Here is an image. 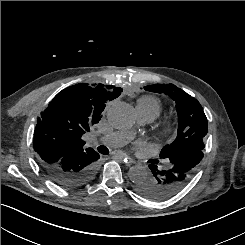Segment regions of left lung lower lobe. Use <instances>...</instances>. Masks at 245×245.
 <instances>
[{"label":"left lung lower lobe","instance_id":"left-lung-lower-lobe-1","mask_svg":"<svg viewBox=\"0 0 245 245\" xmlns=\"http://www.w3.org/2000/svg\"><path fill=\"white\" fill-rule=\"evenodd\" d=\"M203 158V150L186 149L165 159L167 166L158 167V161L149 165L152 175L139 181L137 191L144 197L162 201L179 193L191 180Z\"/></svg>","mask_w":245,"mask_h":245}]
</instances>
